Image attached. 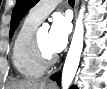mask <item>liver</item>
<instances>
[{
    "label": "liver",
    "mask_w": 107,
    "mask_h": 89,
    "mask_svg": "<svg viewBox=\"0 0 107 89\" xmlns=\"http://www.w3.org/2000/svg\"><path fill=\"white\" fill-rule=\"evenodd\" d=\"M45 85V81L23 79L12 82L8 89H43Z\"/></svg>",
    "instance_id": "1"
}]
</instances>
